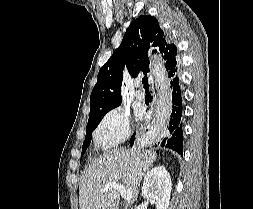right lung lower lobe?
Returning a JSON list of instances; mask_svg holds the SVG:
<instances>
[{
    "label": "right lung lower lobe",
    "mask_w": 253,
    "mask_h": 209,
    "mask_svg": "<svg viewBox=\"0 0 253 209\" xmlns=\"http://www.w3.org/2000/svg\"><path fill=\"white\" fill-rule=\"evenodd\" d=\"M168 77L171 88L172 108L168 119L160 128L157 139L161 147L170 148L183 156L182 96L178 71H173L168 74ZM135 134L130 138L131 146L134 144Z\"/></svg>",
    "instance_id": "obj_1"
}]
</instances>
